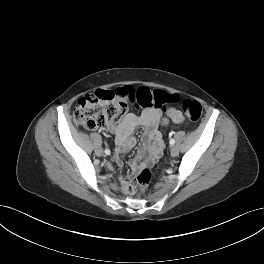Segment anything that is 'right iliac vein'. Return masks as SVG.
<instances>
[{"label": "right iliac vein", "mask_w": 264, "mask_h": 264, "mask_svg": "<svg viewBox=\"0 0 264 264\" xmlns=\"http://www.w3.org/2000/svg\"><path fill=\"white\" fill-rule=\"evenodd\" d=\"M95 154H96L97 156H101V155L103 154V150H102V148H100V147L96 148V150H95Z\"/></svg>", "instance_id": "right-iliac-vein-1"}]
</instances>
